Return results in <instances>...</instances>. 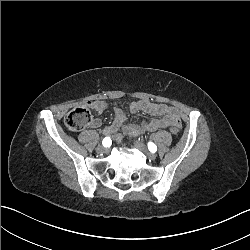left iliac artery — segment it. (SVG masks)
<instances>
[{"label": "left iliac artery", "instance_id": "obj_1", "mask_svg": "<svg viewBox=\"0 0 250 250\" xmlns=\"http://www.w3.org/2000/svg\"><path fill=\"white\" fill-rule=\"evenodd\" d=\"M148 149L150 152L155 153L157 151V146L153 142H148Z\"/></svg>", "mask_w": 250, "mask_h": 250}]
</instances>
